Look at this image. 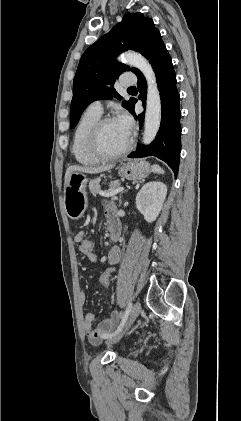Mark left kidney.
I'll return each instance as SVG.
<instances>
[{
  "label": "left kidney",
  "instance_id": "5707ae66",
  "mask_svg": "<svg viewBox=\"0 0 241 421\" xmlns=\"http://www.w3.org/2000/svg\"><path fill=\"white\" fill-rule=\"evenodd\" d=\"M167 195V186L159 181L145 184L136 196V206L150 223L158 217Z\"/></svg>",
  "mask_w": 241,
  "mask_h": 421
}]
</instances>
